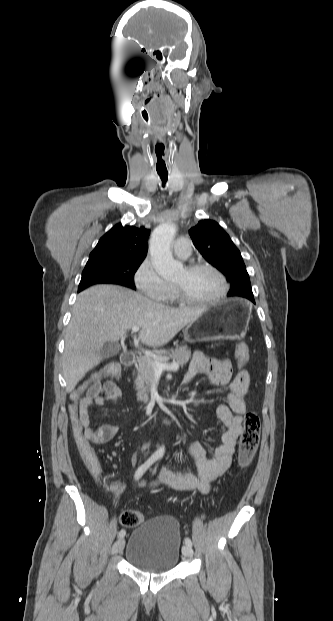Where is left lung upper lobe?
<instances>
[{"label": "left lung upper lobe", "instance_id": "1", "mask_svg": "<svg viewBox=\"0 0 333 621\" xmlns=\"http://www.w3.org/2000/svg\"><path fill=\"white\" fill-rule=\"evenodd\" d=\"M189 234L205 260L228 277V296L243 297L255 303L240 251L223 228L217 222L205 219L192 227Z\"/></svg>", "mask_w": 333, "mask_h": 621}]
</instances>
